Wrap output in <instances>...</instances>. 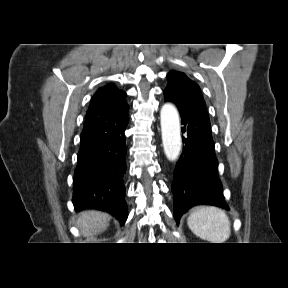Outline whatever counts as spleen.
<instances>
[{"mask_svg": "<svg viewBox=\"0 0 288 288\" xmlns=\"http://www.w3.org/2000/svg\"><path fill=\"white\" fill-rule=\"evenodd\" d=\"M190 230L203 240L224 243L231 234L230 221L226 213L212 206L198 207L187 219Z\"/></svg>", "mask_w": 288, "mask_h": 288, "instance_id": "3e777b00", "label": "spleen"}]
</instances>
